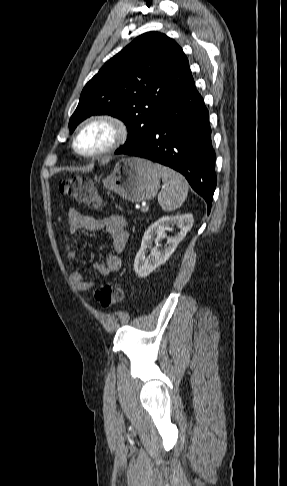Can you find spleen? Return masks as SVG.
<instances>
[{"instance_id": "spleen-1", "label": "spleen", "mask_w": 287, "mask_h": 486, "mask_svg": "<svg viewBox=\"0 0 287 486\" xmlns=\"http://www.w3.org/2000/svg\"><path fill=\"white\" fill-rule=\"evenodd\" d=\"M156 167L164 183L163 190L158 195V202L164 211H174L184 203L188 195V183L178 172L160 164H156Z\"/></svg>"}]
</instances>
